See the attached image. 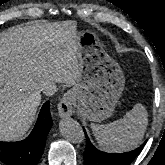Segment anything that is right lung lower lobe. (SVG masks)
I'll return each instance as SVG.
<instances>
[{
  "label": "right lung lower lobe",
  "mask_w": 165,
  "mask_h": 165,
  "mask_svg": "<svg viewBox=\"0 0 165 165\" xmlns=\"http://www.w3.org/2000/svg\"><path fill=\"white\" fill-rule=\"evenodd\" d=\"M51 126L50 102L48 101L42 106L37 123L25 140L0 142V161L6 165H37Z\"/></svg>",
  "instance_id": "right-lung-lower-lobe-1"
}]
</instances>
